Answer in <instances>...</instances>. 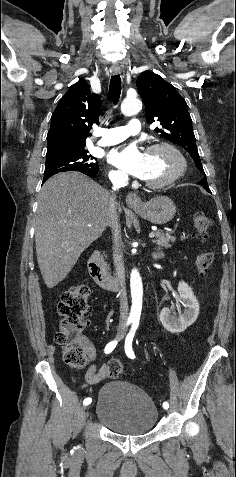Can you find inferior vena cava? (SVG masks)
Instances as JSON below:
<instances>
[{"label":"inferior vena cava","mask_w":236,"mask_h":477,"mask_svg":"<svg viewBox=\"0 0 236 477\" xmlns=\"http://www.w3.org/2000/svg\"><path fill=\"white\" fill-rule=\"evenodd\" d=\"M113 189L118 190L119 188L125 186L127 184V177L126 176H118L115 177L113 180ZM116 195L112 194L110 200V206L107 212L106 217V225L111 228L112 238L114 243V252H113V259H114V266L116 271L117 280L120 284V291L118 294L120 300V324L124 325L128 318V302H127V295L125 290V275L124 269L121 262V256L119 254V231H118V216L116 212Z\"/></svg>","instance_id":"1"}]
</instances>
